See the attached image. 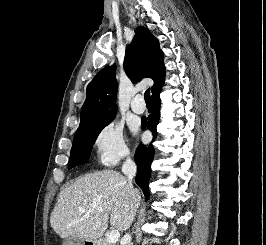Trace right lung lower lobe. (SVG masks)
Returning a JSON list of instances; mask_svg holds the SVG:
<instances>
[{"instance_id": "right-lung-lower-lobe-1", "label": "right lung lower lobe", "mask_w": 266, "mask_h": 245, "mask_svg": "<svg viewBox=\"0 0 266 245\" xmlns=\"http://www.w3.org/2000/svg\"><path fill=\"white\" fill-rule=\"evenodd\" d=\"M161 89L152 94V113L147 119L142 120V128L147 127L152 131L154 138L157 135L156 126L159 121L160 114V98ZM154 157V149L150 146L140 144L135 153V162L137 164L138 173L136 175V183L143 190L146 200L149 199L148 181L151 175V162Z\"/></svg>"}]
</instances>
